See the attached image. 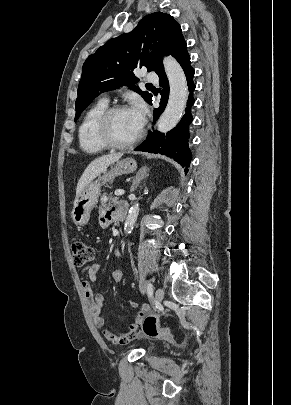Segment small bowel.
I'll return each instance as SVG.
<instances>
[{"mask_svg":"<svg viewBox=\"0 0 291 405\" xmlns=\"http://www.w3.org/2000/svg\"><path fill=\"white\" fill-rule=\"evenodd\" d=\"M118 217L117 216V207L111 210L104 211L100 217V225L102 227L109 226L113 220ZM101 268L100 263L96 262L93 263L85 268V274L88 276L89 280L95 282L97 280L98 272ZM83 291L85 297L88 301L90 314L96 326L101 329L103 336L110 342L114 344H122L130 341L133 339L141 329V323L143 316L146 312H148V306L144 305L139 308L136 317L133 323L130 325L128 330L116 334L109 331L106 328V322L102 317L103 305H104V298L103 295L100 293H94L90 283L88 281L82 282ZM133 306H136L134 302L131 303Z\"/></svg>","mask_w":291,"mask_h":405,"instance_id":"small-bowel-1","label":"small bowel"}]
</instances>
